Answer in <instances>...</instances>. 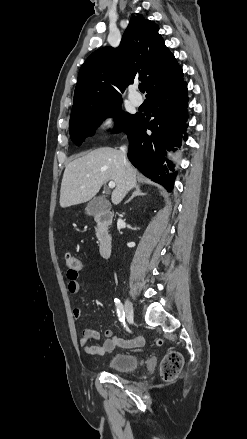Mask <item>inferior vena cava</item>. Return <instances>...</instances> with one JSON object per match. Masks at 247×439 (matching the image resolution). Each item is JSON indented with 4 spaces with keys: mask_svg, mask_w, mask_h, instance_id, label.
<instances>
[{
    "mask_svg": "<svg viewBox=\"0 0 247 439\" xmlns=\"http://www.w3.org/2000/svg\"><path fill=\"white\" fill-rule=\"evenodd\" d=\"M121 150L125 153L126 147L125 146L121 147Z\"/></svg>",
    "mask_w": 247,
    "mask_h": 439,
    "instance_id": "obj_1",
    "label": "inferior vena cava"
}]
</instances>
